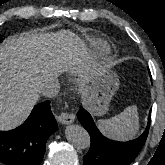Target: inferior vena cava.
<instances>
[{
	"instance_id": "inferior-vena-cava-1",
	"label": "inferior vena cava",
	"mask_w": 165,
	"mask_h": 165,
	"mask_svg": "<svg viewBox=\"0 0 165 165\" xmlns=\"http://www.w3.org/2000/svg\"><path fill=\"white\" fill-rule=\"evenodd\" d=\"M59 92V83L57 81H48L41 86L40 93L45 96L52 98Z\"/></svg>"
}]
</instances>
